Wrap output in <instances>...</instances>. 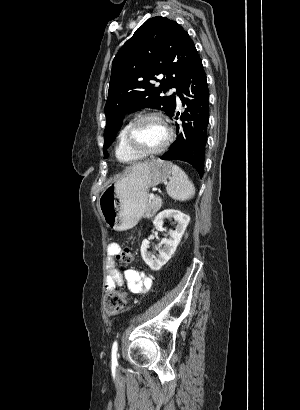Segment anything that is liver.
<instances>
[{"mask_svg":"<svg viewBox=\"0 0 300 410\" xmlns=\"http://www.w3.org/2000/svg\"><path fill=\"white\" fill-rule=\"evenodd\" d=\"M144 164H146V163L135 164L132 168L140 167V166H142V165H144Z\"/></svg>","mask_w":300,"mask_h":410,"instance_id":"1","label":"liver"}]
</instances>
